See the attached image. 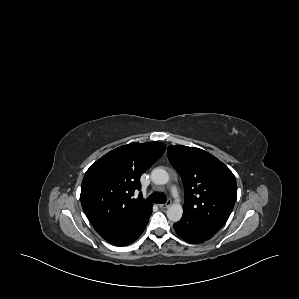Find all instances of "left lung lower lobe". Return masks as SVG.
<instances>
[{
  "label": "left lung lower lobe",
  "mask_w": 299,
  "mask_h": 299,
  "mask_svg": "<svg viewBox=\"0 0 299 299\" xmlns=\"http://www.w3.org/2000/svg\"><path fill=\"white\" fill-rule=\"evenodd\" d=\"M176 233L188 243H201L212 238L217 231L208 225L183 214L180 221L174 224Z\"/></svg>",
  "instance_id": "obj_1"
}]
</instances>
